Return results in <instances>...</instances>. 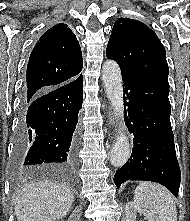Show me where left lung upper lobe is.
<instances>
[{"label": "left lung upper lobe", "mask_w": 190, "mask_h": 221, "mask_svg": "<svg viewBox=\"0 0 190 221\" xmlns=\"http://www.w3.org/2000/svg\"><path fill=\"white\" fill-rule=\"evenodd\" d=\"M106 56L118 63L122 75L169 87L164 46L155 32L140 21L120 18L115 22Z\"/></svg>", "instance_id": "left-lung-upper-lobe-1"}]
</instances>
